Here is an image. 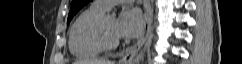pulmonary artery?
I'll return each mask as SVG.
<instances>
[{"instance_id":"1","label":"pulmonary artery","mask_w":242,"mask_h":64,"mask_svg":"<svg viewBox=\"0 0 242 64\" xmlns=\"http://www.w3.org/2000/svg\"><path fill=\"white\" fill-rule=\"evenodd\" d=\"M124 2H132V0H96V1H94L93 4H95L96 6L102 8L104 10H108L112 6H114L118 3H124Z\"/></svg>"}]
</instances>
